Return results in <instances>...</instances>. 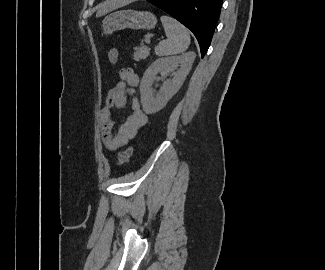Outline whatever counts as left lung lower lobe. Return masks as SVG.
I'll return each instance as SVG.
<instances>
[{
	"label": "left lung lower lobe",
	"mask_w": 325,
	"mask_h": 270,
	"mask_svg": "<svg viewBox=\"0 0 325 270\" xmlns=\"http://www.w3.org/2000/svg\"><path fill=\"white\" fill-rule=\"evenodd\" d=\"M190 29L200 45L202 58L207 52L223 0H146Z\"/></svg>",
	"instance_id": "0a47b994"
}]
</instances>
